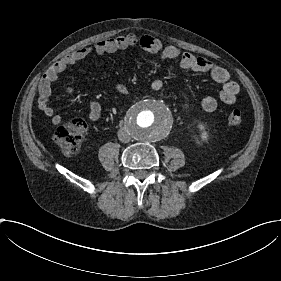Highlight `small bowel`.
Masks as SVG:
<instances>
[{"mask_svg":"<svg viewBox=\"0 0 281 281\" xmlns=\"http://www.w3.org/2000/svg\"><path fill=\"white\" fill-rule=\"evenodd\" d=\"M140 47L146 51L158 53L162 62L177 60L178 65L184 69L193 72L210 73L212 77L221 84L219 96L204 95L201 97V107L207 111H214L220 102L227 105H233L239 92V84L230 78L228 71L222 66L205 58H198L189 53H182L174 46H165L163 42L150 35L127 34L101 40L95 44L81 47L57 62L44 76L39 86L38 107L42 114L47 117L51 124L60 126L64 119L61 115L56 114L49 103L52 91V84L58 79L67 68L77 64L90 55H103L127 48ZM115 89L124 97H129V91L122 82L114 83ZM163 82L155 79L151 82V88L155 91L161 90ZM67 97L73 99L75 92L73 87L67 86L64 89ZM91 122H97L102 113V105L97 100H92L89 105Z\"/></svg>","mask_w":281,"mask_h":281,"instance_id":"c3829d8e","label":"small bowel"}]
</instances>
